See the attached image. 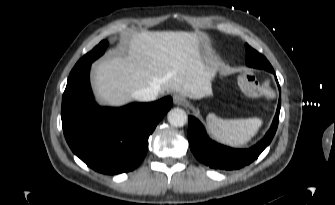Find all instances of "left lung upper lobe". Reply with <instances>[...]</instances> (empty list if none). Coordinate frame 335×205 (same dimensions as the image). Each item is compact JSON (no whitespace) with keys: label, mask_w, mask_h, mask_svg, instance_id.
I'll return each mask as SVG.
<instances>
[{"label":"left lung upper lobe","mask_w":335,"mask_h":205,"mask_svg":"<svg viewBox=\"0 0 335 205\" xmlns=\"http://www.w3.org/2000/svg\"><path fill=\"white\" fill-rule=\"evenodd\" d=\"M245 49L247 66L258 69H265L269 72L274 71L271 64L262 54L251 48L248 44L245 45Z\"/></svg>","instance_id":"1"}]
</instances>
